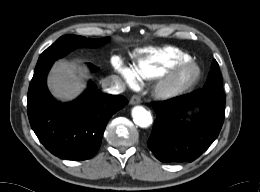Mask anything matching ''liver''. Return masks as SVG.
<instances>
[{
	"mask_svg": "<svg viewBox=\"0 0 260 192\" xmlns=\"http://www.w3.org/2000/svg\"><path fill=\"white\" fill-rule=\"evenodd\" d=\"M84 78H89L88 69L58 61L48 77V86L55 98L69 101L79 96L85 88Z\"/></svg>",
	"mask_w": 260,
	"mask_h": 192,
	"instance_id": "liver-1",
	"label": "liver"
}]
</instances>
